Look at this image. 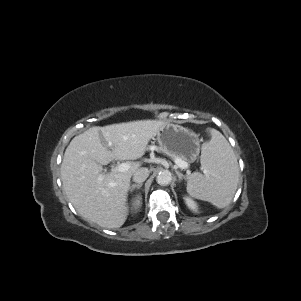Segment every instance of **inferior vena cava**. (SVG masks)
Returning <instances> with one entry per match:
<instances>
[{
  "label": "inferior vena cava",
  "mask_w": 301,
  "mask_h": 301,
  "mask_svg": "<svg viewBox=\"0 0 301 301\" xmlns=\"http://www.w3.org/2000/svg\"><path fill=\"white\" fill-rule=\"evenodd\" d=\"M149 176V171L145 167L138 168L133 174V181L140 184Z\"/></svg>",
  "instance_id": "1"
}]
</instances>
